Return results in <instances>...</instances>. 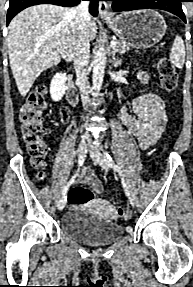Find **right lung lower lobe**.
Returning a JSON list of instances; mask_svg holds the SVG:
<instances>
[{"label": "right lung lower lobe", "mask_w": 193, "mask_h": 287, "mask_svg": "<svg viewBox=\"0 0 193 287\" xmlns=\"http://www.w3.org/2000/svg\"><path fill=\"white\" fill-rule=\"evenodd\" d=\"M81 0H10V5L7 13V25L11 21V19L18 14L23 9L38 5V4H54L59 6H74L78 4ZM90 1L89 12L93 16H97L98 14V0H83Z\"/></svg>", "instance_id": "obj_1"}]
</instances>
